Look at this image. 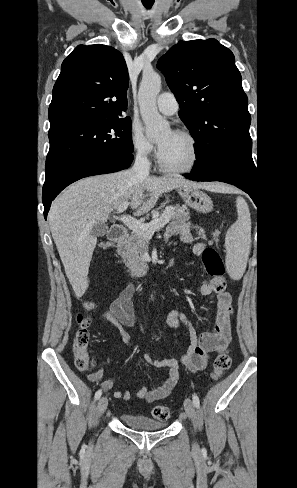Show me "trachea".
<instances>
[{"label": "trachea", "mask_w": 297, "mask_h": 488, "mask_svg": "<svg viewBox=\"0 0 297 488\" xmlns=\"http://www.w3.org/2000/svg\"><path fill=\"white\" fill-rule=\"evenodd\" d=\"M142 3L147 9H150L153 5V2H149L148 0H142Z\"/></svg>", "instance_id": "1"}]
</instances>
